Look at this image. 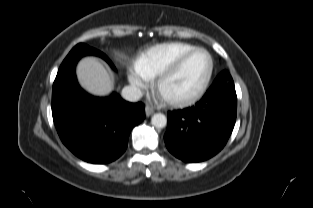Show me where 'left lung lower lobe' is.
Returning <instances> with one entry per match:
<instances>
[{
    "label": "left lung lower lobe",
    "instance_id": "obj_1",
    "mask_svg": "<svg viewBox=\"0 0 313 208\" xmlns=\"http://www.w3.org/2000/svg\"><path fill=\"white\" fill-rule=\"evenodd\" d=\"M236 113L233 79L218 75L195 106L168 112L166 147L184 162L207 160L227 143Z\"/></svg>",
    "mask_w": 313,
    "mask_h": 208
}]
</instances>
